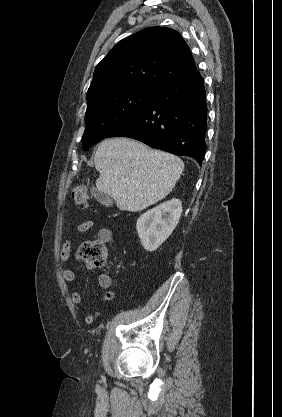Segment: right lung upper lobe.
<instances>
[{
    "label": "right lung upper lobe",
    "mask_w": 282,
    "mask_h": 417,
    "mask_svg": "<svg viewBox=\"0 0 282 417\" xmlns=\"http://www.w3.org/2000/svg\"><path fill=\"white\" fill-rule=\"evenodd\" d=\"M196 70L189 47L177 31L149 27L109 51L96 66L87 98L128 88L157 91Z\"/></svg>",
    "instance_id": "1"
}]
</instances>
